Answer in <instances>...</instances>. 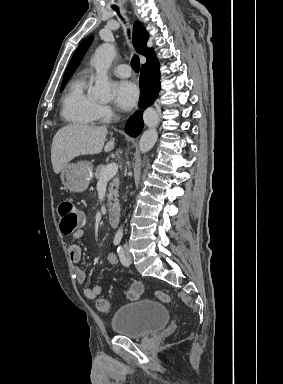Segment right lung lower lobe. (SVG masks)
<instances>
[{"instance_id": "98d812e1", "label": "right lung lower lobe", "mask_w": 283, "mask_h": 384, "mask_svg": "<svg viewBox=\"0 0 283 384\" xmlns=\"http://www.w3.org/2000/svg\"><path fill=\"white\" fill-rule=\"evenodd\" d=\"M159 65L156 67H145L141 68L140 74V101L139 106L141 108H147L150 106L158 96L160 91L159 82ZM142 113L137 112L126 124L125 131L129 135L136 137L138 136L143 128Z\"/></svg>"}]
</instances>
